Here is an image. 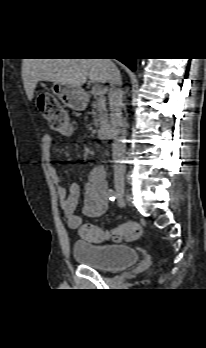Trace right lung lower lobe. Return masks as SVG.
<instances>
[{
  "label": "right lung lower lobe",
  "mask_w": 206,
  "mask_h": 348,
  "mask_svg": "<svg viewBox=\"0 0 206 348\" xmlns=\"http://www.w3.org/2000/svg\"><path fill=\"white\" fill-rule=\"evenodd\" d=\"M122 63H124L126 66H128L132 71L136 68V62L134 58H127V59H118Z\"/></svg>",
  "instance_id": "right-lung-lower-lobe-1"
}]
</instances>
